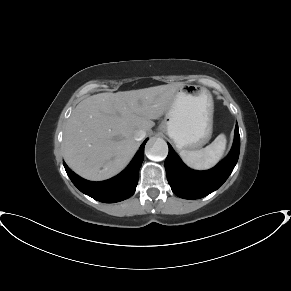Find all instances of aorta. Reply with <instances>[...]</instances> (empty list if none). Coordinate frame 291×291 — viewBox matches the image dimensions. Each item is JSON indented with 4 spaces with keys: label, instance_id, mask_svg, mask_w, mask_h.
I'll return each mask as SVG.
<instances>
[{
    "label": "aorta",
    "instance_id": "aorta-1",
    "mask_svg": "<svg viewBox=\"0 0 291 291\" xmlns=\"http://www.w3.org/2000/svg\"><path fill=\"white\" fill-rule=\"evenodd\" d=\"M146 155L153 161L164 160L168 155V145L162 138L151 139L146 144Z\"/></svg>",
    "mask_w": 291,
    "mask_h": 291
}]
</instances>
